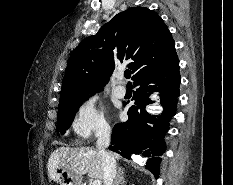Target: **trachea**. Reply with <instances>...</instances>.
<instances>
[{
	"instance_id": "obj_1",
	"label": "trachea",
	"mask_w": 233,
	"mask_h": 185,
	"mask_svg": "<svg viewBox=\"0 0 233 185\" xmlns=\"http://www.w3.org/2000/svg\"><path fill=\"white\" fill-rule=\"evenodd\" d=\"M124 76H125L126 79H129L131 77V71L130 70H126L125 73H124Z\"/></svg>"
}]
</instances>
